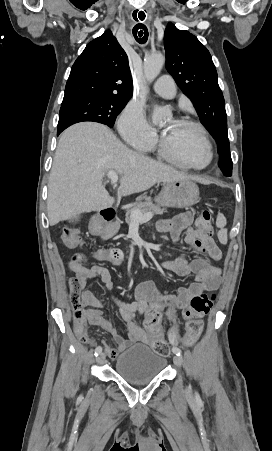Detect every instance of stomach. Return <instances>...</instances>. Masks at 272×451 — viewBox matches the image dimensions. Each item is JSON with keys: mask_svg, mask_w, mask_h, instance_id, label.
Segmentation results:
<instances>
[{"mask_svg": "<svg viewBox=\"0 0 272 451\" xmlns=\"http://www.w3.org/2000/svg\"><path fill=\"white\" fill-rule=\"evenodd\" d=\"M199 188L192 180H177V182H165L155 202L166 208H190L197 204Z\"/></svg>", "mask_w": 272, "mask_h": 451, "instance_id": "stomach-1", "label": "stomach"}]
</instances>
